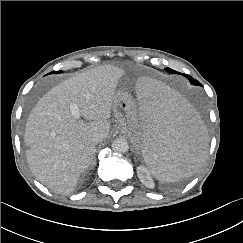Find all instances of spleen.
<instances>
[{"instance_id":"3e777b00","label":"spleen","mask_w":243,"mask_h":243,"mask_svg":"<svg viewBox=\"0 0 243 243\" xmlns=\"http://www.w3.org/2000/svg\"><path fill=\"white\" fill-rule=\"evenodd\" d=\"M136 145L143 166L161 183L191 176L206 155L200 116L177 93L152 78L136 85Z\"/></svg>"}]
</instances>
